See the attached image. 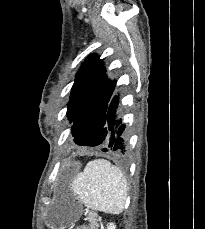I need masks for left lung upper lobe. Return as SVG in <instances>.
I'll return each instance as SVG.
<instances>
[{
  "instance_id": "obj_1",
  "label": "left lung upper lobe",
  "mask_w": 205,
  "mask_h": 229,
  "mask_svg": "<svg viewBox=\"0 0 205 229\" xmlns=\"http://www.w3.org/2000/svg\"><path fill=\"white\" fill-rule=\"evenodd\" d=\"M105 72L102 60L95 54L88 56L77 72L67 116L73 123L71 132L78 145H103L92 138L105 126L106 111L116 86Z\"/></svg>"
}]
</instances>
